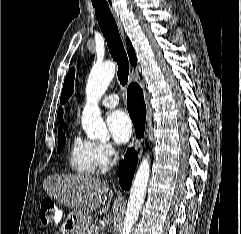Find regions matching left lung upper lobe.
<instances>
[{"label":"left lung upper lobe","instance_id":"1","mask_svg":"<svg viewBox=\"0 0 241 234\" xmlns=\"http://www.w3.org/2000/svg\"><path fill=\"white\" fill-rule=\"evenodd\" d=\"M74 73H75V70H74V68H72L65 78L63 90H62V94H61V98H60L61 103H65V101L71 96V94L73 92Z\"/></svg>","mask_w":241,"mask_h":234}]
</instances>
